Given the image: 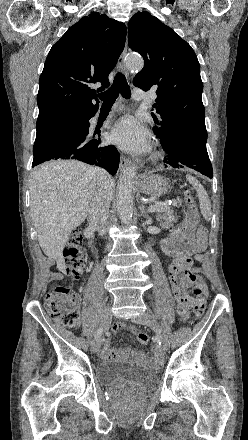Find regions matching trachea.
Here are the masks:
<instances>
[{
	"label": "trachea",
	"mask_w": 248,
	"mask_h": 440,
	"mask_svg": "<svg viewBox=\"0 0 248 440\" xmlns=\"http://www.w3.org/2000/svg\"><path fill=\"white\" fill-rule=\"evenodd\" d=\"M120 93L126 99L131 96L125 76L118 72L112 86L106 92L99 94V98L103 101L102 108L111 107Z\"/></svg>",
	"instance_id": "obj_1"
}]
</instances>
